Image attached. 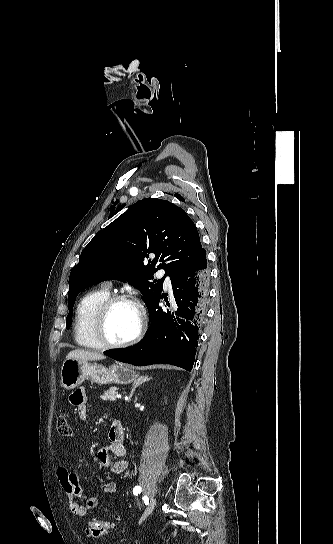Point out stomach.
Here are the masks:
<instances>
[{
	"label": "stomach",
	"mask_w": 333,
	"mask_h": 544,
	"mask_svg": "<svg viewBox=\"0 0 333 544\" xmlns=\"http://www.w3.org/2000/svg\"><path fill=\"white\" fill-rule=\"evenodd\" d=\"M60 376L62 386L71 390L81 385L85 379L98 384H128L135 380L138 374L123 364H113L106 368L97 363L67 359L62 364Z\"/></svg>",
	"instance_id": "0dacf381"
}]
</instances>
